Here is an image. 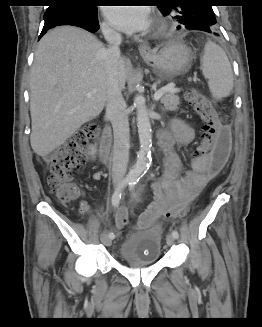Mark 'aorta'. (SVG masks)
Instances as JSON below:
<instances>
[{"instance_id":"obj_1","label":"aorta","mask_w":262,"mask_h":327,"mask_svg":"<svg viewBox=\"0 0 262 327\" xmlns=\"http://www.w3.org/2000/svg\"><path fill=\"white\" fill-rule=\"evenodd\" d=\"M134 106L137 109V127L140 148L135 165L129 171V177L139 178L149 167L151 158V123L148 116L145 98L137 95L134 98Z\"/></svg>"}]
</instances>
